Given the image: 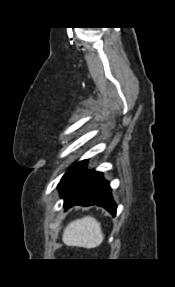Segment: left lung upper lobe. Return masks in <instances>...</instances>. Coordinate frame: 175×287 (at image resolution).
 I'll list each match as a JSON object with an SVG mask.
<instances>
[{"mask_svg": "<svg viewBox=\"0 0 175 287\" xmlns=\"http://www.w3.org/2000/svg\"><path fill=\"white\" fill-rule=\"evenodd\" d=\"M86 162L83 160L70 166L58 184L59 191L64 194L86 171Z\"/></svg>", "mask_w": 175, "mask_h": 287, "instance_id": "1", "label": "left lung upper lobe"}]
</instances>
